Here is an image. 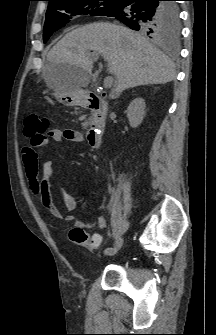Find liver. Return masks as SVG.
I'll return each instance as SVG.
<instances>
[{
    "mask_svg": "<svg viewBox=\"0 0 216 335\" xmlns=\"http://www.w3.org/2000/svg\"><path fill=\"white\" fill-rule=\"evenodd\" d=\"M102 55L116 78L113 92L175 79L174 63L157 47L128 28L106 22L85 25L67 33L47 55L45 75L64 76L74 89L90 81L93 57Z\"/></svg>",
    "mask_w": 216,
    "mask_h": 335,
    "instance_id": "obj_1",
    "label": "liver"
}]
</instances>
